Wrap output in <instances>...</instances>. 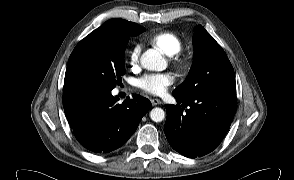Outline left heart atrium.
<instances>
[{
  "label": "left heart atrium",
  "instance_id": "left-heart-atrium-1",
  "mask_svg": "<svg viewBox=\"0 0 294 180\" xmlns=\"http://www.w3.org/2000/svg\"><path fill=\"white\" fill-rule=\"evenodd\" d=\"M173 76L169 73L146 74L136 80V86L152 95H161L173 83Z\"/></svg>",
  "mask_w": 294,
  "mask_h": 180
}]
</instances>
